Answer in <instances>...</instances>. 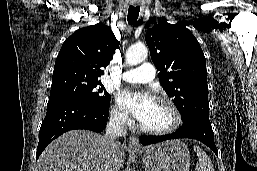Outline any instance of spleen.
Wrapping results in <instances>:
<instances>
[{"label":"spleen","instance_id":"3e777b00","mask_svg":"<svg viewBox=\"0 0 257 171\" xmlns=\"http://www.w3.org/2000/svg\"><path fill=\"white\" fill-rule=\"evenodd\" d=\"M194 150L198 156L196 171H215L214 166L207 154L198 146H194Z\"/></svg>","mask_w":257,"mask_h":171}]
</instances>
